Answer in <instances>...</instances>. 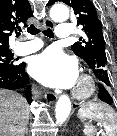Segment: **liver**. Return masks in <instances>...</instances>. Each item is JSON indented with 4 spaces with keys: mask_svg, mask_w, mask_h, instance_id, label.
Listing matches in <instances>:
<instances>
[{
    "mask_svg": "<svg viewBox=\"0 0 117 136\" xmlns=\"http://www.w3.org/2000/svg\"><path fill=\"white\" fill-rule=\"evenodd\" d=\"M29 114V104L22 95L0 89V136H24Z\"/></svg>",
    "mask_w": 117,
    "mask_h": 136,
    "instance_id": "liver-1",
    "label": "liver"
}]
</instances>
